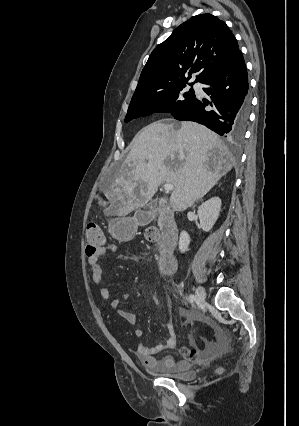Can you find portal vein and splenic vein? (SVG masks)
I'll return each mask as SVG.
<instances>
[{"mask_svg":"<svg viewBox=\"0 0 299 426\" xmlns=\"http://www.w3.org/2000/svg\"><path fill=\"white\" fill-rule=\"evenodd\" d=\"M163 187H164V190L166 192H170V191H172L174 189V186L172 184H170V183H165Z\"/></svg>","mask_w":299,"mask_h":426,"instance_id":"obj_1","label":"portal vein and splenic vein"}]
</instances>
